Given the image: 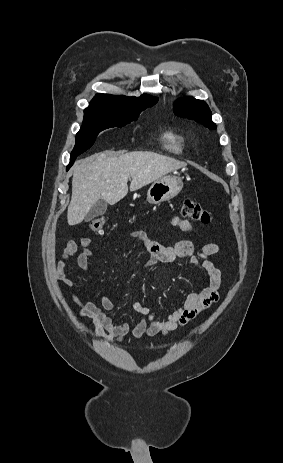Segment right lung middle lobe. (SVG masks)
Here are the masks:
<instances>
[{
  "label": "right lung middle lobe",
  "mask_w": 283,
  "mask_h": 463,
  "mask_svg": "<svg viewBox=\"0 0 283 463\" xmlns=\"http://www.w3.org/2000/svg\"><path fill=\"white\" fill-rule=\"evenodd\" d=\"M155 103L146 106H133L91 102L89 107L84 110L83 125L76 135L75 147L70 157L78 156L89 149L101 131L129 124L136 120L143 110Z\"/></svg>",
  "instance_id": "obj_1"
}]
</instances>
